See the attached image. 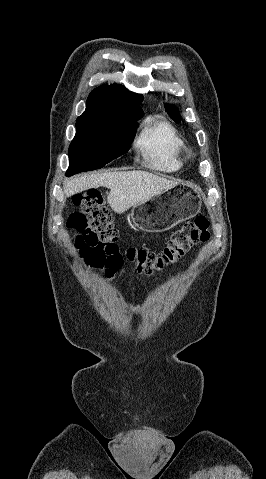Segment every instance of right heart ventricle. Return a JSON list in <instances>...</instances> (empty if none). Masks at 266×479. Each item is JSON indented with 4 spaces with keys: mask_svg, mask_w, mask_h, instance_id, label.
Returning <instances> with one entry per match:
<instances>
[{
    "mask_svg": "<svg viewBox=\"0 0 266 479\" xmlns=\"http://www.w3.org/2000/svg\"><path fill=\"white\" fill-rule=\"evenodd\" d=\"M135 146L145 163L154 170L172 173L180 170L184 164V142L168 122L148 123Z\"/></svg>",
    "mask_w": 266,
    "mask_h": 479,
    "instance_id": "obj_1",
    "label": "right heart ventricle"
}]
</instances>
